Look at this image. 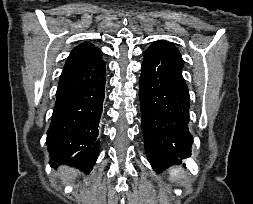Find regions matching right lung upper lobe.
Instances as JSON below:
<instances>
[{"instance_id":"cb5924a9","label":"right lung upper lobe","mask_w":253,"mask_h":204,"mask_svg":"<svg viewBox=\"0 0 253 204\" xmlns=\"http://www.w3.org/2000/svg\"><path fill=\"white\" fill-rule=\"evenodd\" d=\"M97 48L94 47L92 44L90 43H82L79 46L75 47L71 54L69 55L65 66L71 64L72 62H74L75 60H77L78 58H80L81 56H83L86 53H89L93 50H96Z\"/></svg>"}]
</instances>
